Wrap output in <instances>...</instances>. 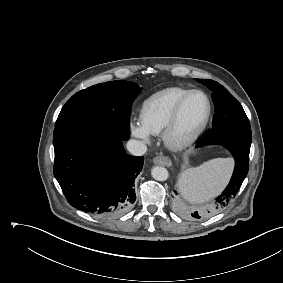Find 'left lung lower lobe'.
<instances>
[{
	"instance_id": "obj_1",
	"label": "left lung lower lobe",
	"mask_w": 283,
	"mask_h": 283,
	"mask_svg": "<svg viewBox=\"0 0 283 283\" xmlns=\"http://www.w3.org/2000/svg\"><path fill=\"white\" fill-rule=\"evenodd\" d=\"M209 144H215V143H209L203 137L197 143L196 147H202ZM219 145H223L233 155L235 159L234 172L226 189L223 191L221 195H219L216 198L215 202L207 210L203 212L195 211L191 213V216L196 219L208 216L210 214H214L220 211L223 207H225L230 201V199L234 197L236 193L239 191L241 184L248 173L250 148L239 145H232V144H219Z\"/></svg>"
}]
</instances>
